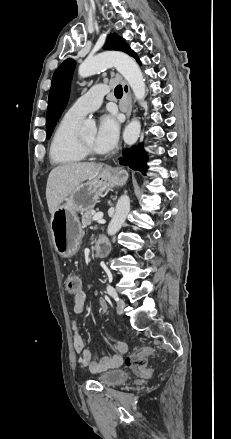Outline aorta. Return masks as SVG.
Instances as JSON below:
<instances>
[{"instance_id":"762f6f07","label":"aorta","mask_w":231,"mask_h":439,"mask_svg":"<svg viewBox=\"0 0 231 439\" xmlns=\"http://www.w3.org/2000/svg\"><path fill=\"white\" fill-rule=\"evenodd\" d=\"M115 67L117 71L126 79L130 85L134 96L141 101L145 97V79L138 64L129 55L119 51H109L100 53L96 56L86 58L78 68V74L81 78L91 76L103 69ZM95 122L86 120L82 130H94ZM141 131L140 121L132 120L125 128L123 133L124 142L127 145H133L139 138ZM130 211V198L123 195L119 198L115 214L108 225L107 233L114 235L120 230Z\"/></svg>"}]
</instances>
